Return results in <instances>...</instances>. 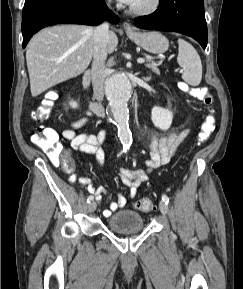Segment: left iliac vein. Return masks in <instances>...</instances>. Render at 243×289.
<instances>
[{
	"label": "left iliac vein",
	"instance_id": "obj_1",
	"mask_svg": "<svg viewBox=\"0 0 243 289\" xmlns=\"http://www.w3.org/2000/svg\"><path fill=\"white\" fill-rule=\"evenodd\" d=\"M159 208H160V211H161L163 214H167V212H168V206H167V204H166L164 201H160V202H159Z\"/></svg>",
	"mask_w": 243,
	"mask_h": 289
}]
</instances>
